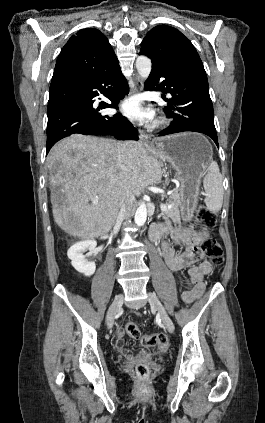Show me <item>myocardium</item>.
<instances>
[{"label": "myocardium", "mask_w": 265, "mask_h": 423, "mask_svg": "<svg viewBox=\"0 0 265 423\" xmlns=\"http://www.w3.org/2000/svg\"><path fill=\"white\" fill-rule=\"evenodd\" d=\"M164 122H163V120H161V119H159L157 122H156V124L158 125V126H160V125H162Z\"/></svg>", "instance_id": "myocardium-1"}]
</instances>
